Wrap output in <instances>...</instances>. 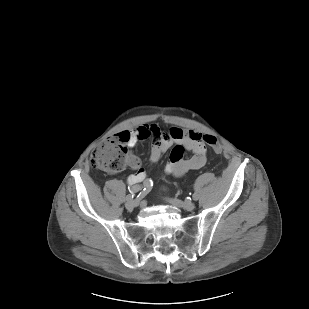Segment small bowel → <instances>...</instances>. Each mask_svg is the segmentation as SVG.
Listing matches in <instances>:
<instances>
[{
    "instance_id": "obj_1",
    "label": "small bowel",
    "mask_w": 309,
    "mask_h": 309,
    "mask_svg": "<svg viewBox=\"0 0 309 309\" xmlns=\"http://www.w3.org/2000/svg\"><path fill=\"white\" fill-rule=\"evenodd\" d=\"M118 136L124 138L130 148L140 140L151 138L154 142L150 153V160L157 162L163 153L174 146L170 153L164 172L173 177H181L190 170L202 168L206 163V145L202 134L194 130H184L178 126H171L167 131L162 130L158 124H143L133 131H122ZM191 152L189 158L184 157V152ZM127 165L135 170L128 177L130 185L141 182L145 178V171L141 162L133 153L127 156Z\"/></svg>"
}]
</instances>
